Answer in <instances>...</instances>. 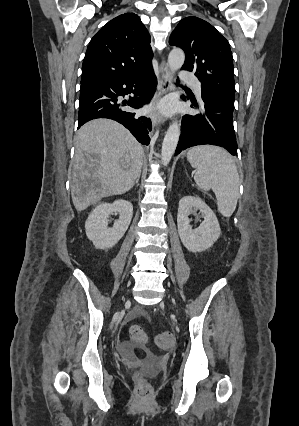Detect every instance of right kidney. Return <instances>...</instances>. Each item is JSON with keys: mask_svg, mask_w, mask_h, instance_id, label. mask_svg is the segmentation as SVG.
Instances as JSON below:
<instances>
[{"mask_svg": "<svg viewBox=\"0 0 299 426\" xmlns=\"http://www.w3.org/2000/svg\"><path fill=\"white\" fill-rule=\"evenodd\" d=\"M119 214L113 226L108 227L110 214ZM133 216L131 202L117 199L113 203H102L90 213L85 222L86 235L97 249L112 248L127 231Z\"/></svg>", "mask_w": 299, "mask_h": 426, "instance_id": "1", "label": "right kidney"}]
</instances>
